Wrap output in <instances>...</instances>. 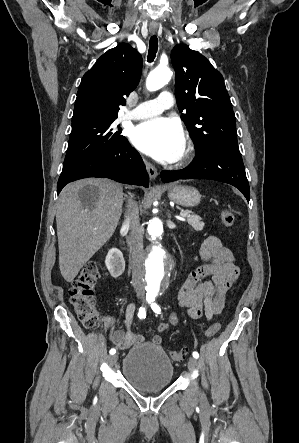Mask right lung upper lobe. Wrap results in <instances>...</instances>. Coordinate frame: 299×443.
Instances as JSON below:
<instances>
[{"instance_id": "obj_1", "label": "right lung upper lobe", "mask_w": 299, "mask_h": 443, "mask_svg": "<svg viewBox=\"0 0 299 443\" xmlns=\"http://www.w3.org/2000/svg\"><path fill=\"white\" fill-rule=\"evenodd\" d=\"M142 57L131 45L122 43L108 50L85 73L77 92L72 123L87 118L117 117L138 85Z\"/></svg>"}]
</instances>
